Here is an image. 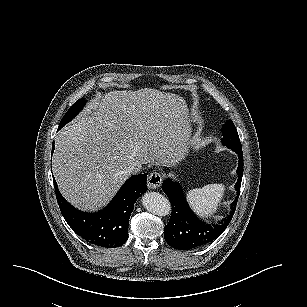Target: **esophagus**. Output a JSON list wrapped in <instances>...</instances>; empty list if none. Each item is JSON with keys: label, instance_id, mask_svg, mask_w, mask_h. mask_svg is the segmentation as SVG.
Listing matches in <instances>:
<instances>
[{"label": "esophagus", "instance_id": "34e87169", "mask_svg": "<svg viewBox=\"0 0 307 307\" xmlns=\"http://www.w3.org/2000/svg\"><path fill=\"white\" fill-rule=\"evenodd\" d=\"M162 184V176L158 172H153L147 179V186L149 189H158Z\"/></svg>", "mask_w": 307, "mask_h": 307}]
</instances>
